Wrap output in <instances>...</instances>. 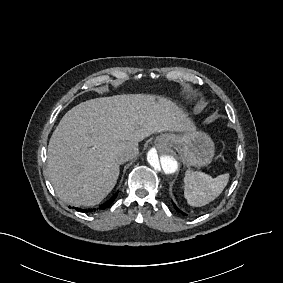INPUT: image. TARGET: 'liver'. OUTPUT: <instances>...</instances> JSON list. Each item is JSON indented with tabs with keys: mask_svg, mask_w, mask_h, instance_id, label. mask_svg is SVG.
Here are the masks:
<instances>
[{
	"mask_svg": "<svg viewBox=\"0 0 283 283\" xmlns=\"http://www.w3.org/2000/svg\"><path fill=\"white\" fill-rule=\"evenodd\" d=\"M195 130L188 113L165 97L123 94L91 99L69 110L54 130L48 176L62 201L94 206L117 182L118 152L129 145L137 148L156 132Z\"/></svg>",
	"mask_w": 283,
	"mask_h": 283,
	"instance_id": "obj_1",
	"label": "liver"
}]
</instances>
